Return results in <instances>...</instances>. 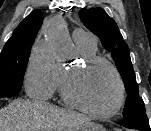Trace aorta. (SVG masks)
<instances>
[{
	"label": "aorta",
	"mask_w": 151,
	"mask_h": 131,
	"mask_svg": "<svg viewBox=\"0 0 151 131\" xmlns=\"http://www.w3.org/2000/svg\"><path fill=\"white\" fill-rule=\"evenodd\" d=\"M46 37L52 43L58 59L66 60L72 57L73 46L65 30L62 18H56L52 21Z\"/></svg>",
	"instance_id": "obj_1"
}]
</instances>
